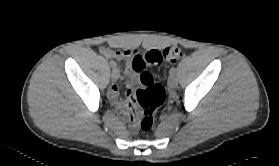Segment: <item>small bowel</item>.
Segmentation results:
<instances>
[{
  "label": "small bowel",
  "instance_id": "1",
  "mask_svg": "<svg viewBox=\"0 0 279 166\" xmlns=\"http://www.w3.org/2000/svg\"><path fill=\"white\" fill-rule=\"evenodd\" d=\"M103 55L108 58H114L117 60H129L133 54L132 50H114L110 48L101 49ZM126 75L130 78V82L127 84V101L126 103L120 96L119 88L117 85H112L108 91L110 100L119 108L125 111L133 128L136 126V108L134 102L137 100V95L134 93L133 84L135 83V72L131 65H127L125 70Z\"/></svg>",
  "mask_w": 279,
  "mask_h": 166
}]
</instances>
